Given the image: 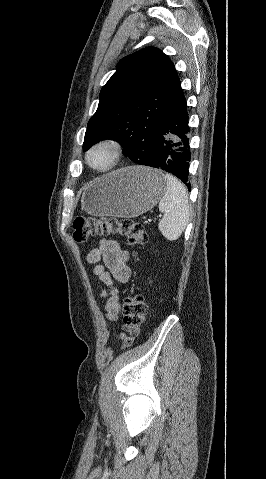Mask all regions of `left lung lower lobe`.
<instances>
[{"instance_id":"obj_1","label":"left lung lower lobe","mask_w":266,"mask_h":479,"mask_svg":"<svg viewBox=\"0 0 266 479\" xmlns=\"http://www.w3.org/2000/svg\"><path fill=\"white\" fill-rule=\"evenodd\" d=\"M189 131L186 100L180 89L161 121L151 159L144 165L175 175L191 190Z\"/></svg>"}]
</instances>
